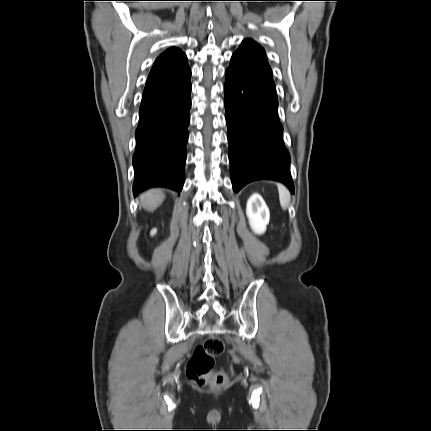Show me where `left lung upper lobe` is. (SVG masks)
<instances>
[{"mask_svg": "<svg viewBox=\"0 0 431 431\" xmlns=\"http://www.w3.org/2000/svg\"><path fill=\"white\" fill-rule=\"evenodd\" d=\"M230 65L259 72L272 78V70L268 65L264 49L252 40L243 41L233 54Z\"/></svg>", "mask_w": 431, "mask_h": 431, "instance_id": "5c2ea615", "label": "left lung upper lobe"}]
</instances>
